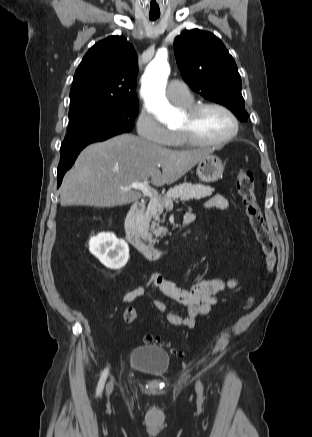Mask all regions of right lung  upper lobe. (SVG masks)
<instances>
[{
	"label": "right lung upper lobe",
	"mask_w": 312,
	"mask_h": 437,
	"mask_svg": "<svg viewBox=\"0 0 312 437\" xmlns=\"http://www.w3.org/2000/svg\"><path fill=\"white\" fill-rule=\"evenodd\" d=\"M137 72L136 52L124 37L109 36L99 41L75 72L70 107L93 102L138 103Z\"/></svg>",
	"instance_id": "right-lung-upper-lobe-1"
}]
</instances>
